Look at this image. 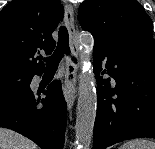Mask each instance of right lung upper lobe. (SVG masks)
<instances>
[{"label": "right lung upper lobe", "instance_id": "cb5924a9", "mask_svg": "<svg viewBox=\"0 0 155 149\" xmlns=\"http://www.w3.org/2000/svg\"><path fill=\"white\" fill-rule=\"evenodd\" d=\"M60 0H12L0 12V68L31 76L42 74L37 63L40 50L51 54L56 43L52 33L63 17Z\"/></svg>", "mask_w": 155, "mask_h": 149}]
</instances>
